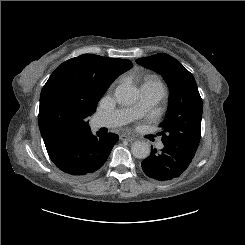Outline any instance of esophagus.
Masks as SVG:
<instances>
[{
  "instance_id": "esophagus-1",
  "label": "esophagus",
  "mask_w": 245,
  "mask_h": 245,
  "mask_svg": "<svg viewBox=\"0 0 245 245\" xmlns=\"http://www.w3.org/2000/svg\"><path fill=\"white\" fill-rule=\"evenodd\" d=\"M119 138H120V140H122V141L127 140V141H129V142H132V141L135 140L134 137L129 136V135H126V134H121V135L119 136Z\"/></svg>"
}]
</instances>
